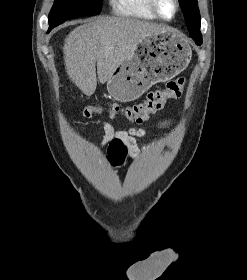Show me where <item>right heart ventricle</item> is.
I'll list each match as a JSON object with an SVG mask.
<instances>
[{
  "instance_id": "right-heart-ventricle-1",
  "label": "right heart ventricle",
  "mask_w": 247,
  "mask_h": 280,
  "mask_svg": "<svg viewBox=\"0 0 247 280\" xmlns=\"http://www.w3.org/2000/svg\"><path fill=\"white\" fill-rule=\"evenodd\" d=\"M111 6L119 16L144 20L158 19L151 8L150 0H111Z\"/></svg>"
}]
</instances>
